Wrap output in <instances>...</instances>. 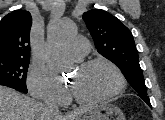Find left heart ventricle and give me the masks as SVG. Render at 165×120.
Segmentation results:
<instances>
[{
  "label": "left heart ventricle",
  "instance_id": "left-heart-ventricle-1",
  "mask_svg": "<svg viewBox=\"0 0 165 120\" xmlns=\"http://www.w3.org/2000/svg\"><path fill=\"white\" fill-rule=\"evenodd\" d=\"M70 86L80 97L96 99L113 91L117 86V78L109 67L98 65L78 69L71 77Z\"/></svg>",
  "mask_w": 165,
  "mask_h": 120
}]
</instances>
